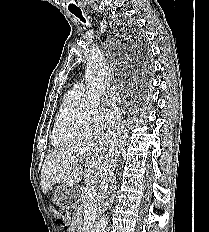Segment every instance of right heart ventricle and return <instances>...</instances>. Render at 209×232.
Returning <instances> with one entry per match:
<instances>
[{"label":"right heart ventricle","instance_id":"1","mask_svg":"<svg viewBox=\"0 0 209 232\" xmlns=\"http://www.w3.org/2000/svg\"><path fill=\"white\" fill-rule=\"evenodd\" d=\"M82 95L74 88L66 93L51 134L54 147H69L91 139L96 133L93 118L80 108Z\"/></svg>","mask_w":209,"mask_h":232}]
</instances>
